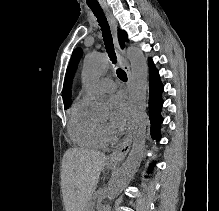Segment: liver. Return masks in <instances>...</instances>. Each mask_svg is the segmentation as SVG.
<instances>
[{"label":"liver","mask_w":219,"mask_h":211,"mask_svg":"<svg viewBox=\"0 0 219 211\" xmlns=\"http://www.w3.org/2000/svg\"><path fill=\"white\" fill-rule=\"evenodd\" d=\"M63 159L65 209L84 211L108 157L102 151L70 147L64 153Z\"/></svg>","instance_id":"obj_1"}]
</instances>
